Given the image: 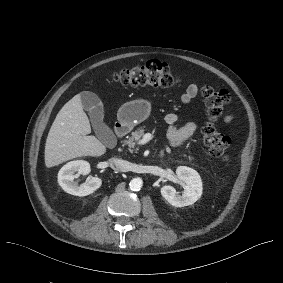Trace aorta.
<instances>
[{"instance_id":"1","label":"aorta","mask_w":283,"mask_h":283,"mask_svg":"<svg viewBox=\"0 0 283 283\" xmlns=\"http://www.w3.org/2000/svg\"><path fill=\"white\" fill-rule=\"evenodd\" d=\"M143 185V181L141 178L139 177H136V178H133L131 181H130V189L132 191H138L141 189Z\"/></svg>"}]
</instances>
